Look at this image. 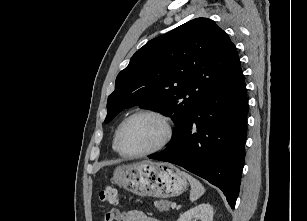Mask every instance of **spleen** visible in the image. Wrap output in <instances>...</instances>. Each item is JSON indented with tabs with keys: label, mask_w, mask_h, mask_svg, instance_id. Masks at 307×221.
Returning a JSON list of instances; mask_svg holds the SVG:
<instances>
[{
	"label": "spleen",
	"mask_w": 307,
	"mask_h": 221,
	"mask_svg": "<svg viewBox=\"0 0 307 221\" xmlns=\"http://www.w3.org/2000/svg\"><path fill=\"white\" fill-rule=\"evenodd\" d=\"M183 175L187 178V180L190 183L191 186L190 201L194 202L204 194L205 189L203 185L197 179L192 177L190 174L183 172Z\"/></svg>",
	"instance_id": "obj_1"
}]
</instances>
